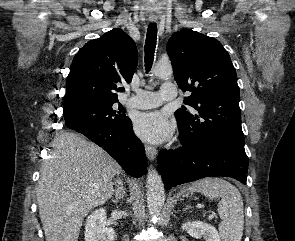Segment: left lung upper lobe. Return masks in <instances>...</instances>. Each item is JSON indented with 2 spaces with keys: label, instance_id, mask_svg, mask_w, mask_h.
<instances>
[{
  "label": "left lung upper lobe",
  "instance_id": "left-lung-upper-lobe-1",
  "mask_svg": "<svg viewBox=\"0 0 295 241\" xmlns=\"http://www.w3.org/2000/svg\"><path fill=\"white\" fill-rule=\"evenodd\" d=\"M175 80L191 95L175 112L188 145L223 142L244 149L237 75L228 52L215 38L183 29L167 43Z\"/></svg>",
  "mask_w": 295,
  "mask_h": 241
}]
</instances>
